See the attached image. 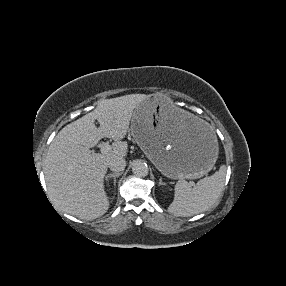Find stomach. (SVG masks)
I'll return each mask as SVG.
<instances>
[{
	"label": "stomach",
	"instance_id": "stomach-1",
	"mask_svg": "<svg viewBox=\"0 0 286 286\" xmlns=\"http://www.w3.org/2000/svg\"><path fill=\"white\" fill-rule=\"evenodd\" d=\"M130 131L145 155L168 178H200L218 158L215 128L184 108L172 106L159 94L140 100Z\"/></svg>",
	"mask_w": 286,
	"mask_h": 286
}]
</instances>
